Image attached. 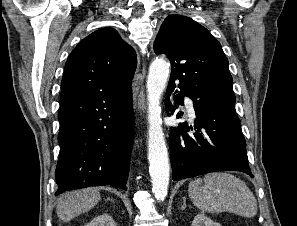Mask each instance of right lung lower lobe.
<instances>
[{
	"mask_svg": "<svg viewBox=\"0 0 297 226\" xmlns=\"http://www.w3.org/2000/svg\"><path fill=\"white\" fill-rule=\"evenodd\" d=\"M132 88L60 103L58 190L111 185L126 190L133 143Z\"/></svg>",
	"mask_w": 297,
	"mask_h": 226,
	"instance_id": "98d812e1",
	"label": "right lung lower lobe"
}]
</instances>
